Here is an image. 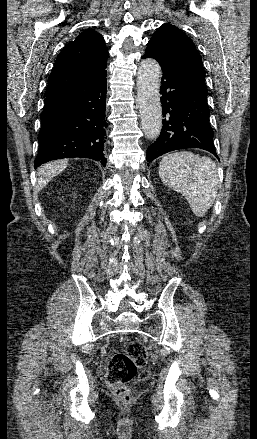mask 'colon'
Wrapping results in <instances>:
<instances>
[{
  "label": "colon",
  "mask_w": 257,
  "mask_h": 439,
  "mask_svg": "<svg viewBox=\"0 0 257 439\" xmlns=\"http://www.w3.org/2000/svg\"><path fill=\"white\" fill-rule=\"evenodd\" d=\"M147 362V350L139 341L129 342L122 352L112 357L109 363L106 381L120 400H130L131 394L127 383L137 376L140 369L145 368ZM147 376V372L141 374L142 378H146Z\"/></svg>",
  "instance_id": "5ec220e1"
}]
</instances>
